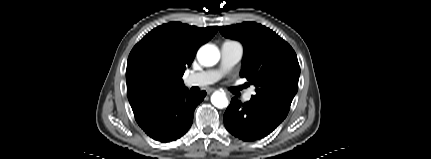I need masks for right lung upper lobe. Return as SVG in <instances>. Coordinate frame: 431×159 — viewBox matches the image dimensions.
<instances>
[{"instance_id": "1", "label": "right lung upper lobe", "mask_w": 431, "mask_h": 159, "mask_svg": "<svg viewBox=\"0 0 431 159\" xmlns=\"http://www.w3.org/2000/svg\"><path fill=\"white\" fill-rule=\"evenodd\" d=\"M218 27L170 22L153 29L132 49L127 61V95L134 115L185 89L182 76L198 48Z\"/></svg>"}]
</instances>
